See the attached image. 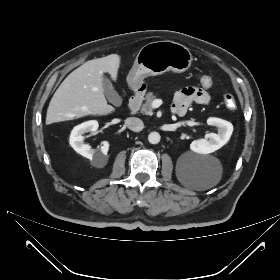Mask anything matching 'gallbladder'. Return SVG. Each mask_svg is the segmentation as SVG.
<instances>
[{
	"label": "gallbladder",
	"mask_w": 280,
	"mask_h": 280,
	"mask_svg": "<svg viewBox=\"0 0 280 280\" xmlns=\"http://www.w3.org/2000/svg\"><path fill=\"white\" fill-rule=\"evenodd\" d=\"M103 89H104V93L110 103H112L113 105H116V106L121 105L122 98L115 91L110 79L107 77H103Z\"/></svg>",
	"instance_id": "gallbladder-1"
}]
</instances>
